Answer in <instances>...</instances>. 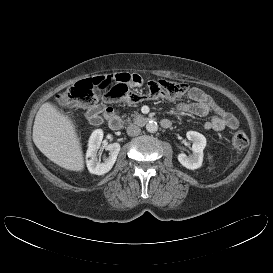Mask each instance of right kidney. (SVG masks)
Instances as JSON below:
<instances>
[{"instance_id": "1", "label": "right kidney", "mask_w": 273, "mask_h": 273, "mask_svg": "<svg viewBox=\"0 0 273 273\" xmlns=\"http://www.w3.org/2000/svg\"><path fill=\"white\" fill-rule=\"evenodd\" d=\"M103 139V130H94L89 138L88 150L86 153V163L90 173L96 175H103L109 172L116 162L117 156L120 151V144L113 143L106 146L109 150V157H106L101 162L98 154V150L101 147V142Z\"/></svg>"}]
</instances>
